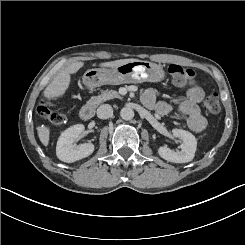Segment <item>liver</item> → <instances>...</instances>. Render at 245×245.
<instances>
[{"mask_svg": "<svg viewBox=\"0 0 245 245\" xmlns=\"http://www.w3.org/2000/svg\"><path fill=\"white\" fill-rule=\"evenodd\" d=\"M137 59H120L111 62L101 63V67H111L115 68L118 65H121L126 62L136 61ZM83 62L77 61L71 63L69 66L65 68V70L61 71L53 81L46 87L44 90V96L46 98H54L59 97L65 93L70 83V74L76 73L82 66ZM37 132L40 141L44 146H47L49 143V134L50 130L47 127H37Z\"/></svg>", "mask_w": 245, "mask_h": 245, "instance_id": "obj_1", "label": "liver"}]
</instances>
